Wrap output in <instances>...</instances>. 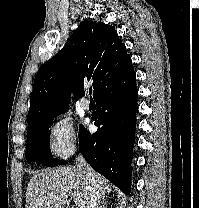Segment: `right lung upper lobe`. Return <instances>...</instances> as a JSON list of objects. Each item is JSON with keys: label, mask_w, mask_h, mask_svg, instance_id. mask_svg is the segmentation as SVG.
<instances>
[{"label": "right lung upper lobe", "mask_w": 199, "mask_h": 208, "mask_svg": "<svg viewBox=\"0 0 199 208\" xmlns=\"http://www.w3.org/2000/svg\"><path fill=\"white\" fill-rule=\"evenodd\" d=\"M133 74L132 60L116 30L101 22H82L35 77L28 131L65 112L71 93L78 99L87 81L93 80L95 98Z\"/></svg>", "instance_id": "1"}]
</instances>
